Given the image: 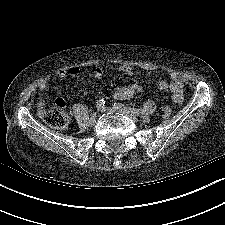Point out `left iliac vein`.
Instances as JSON below:
<instances>
[{"label": "left iliac vein", "mask_w": 225, "mask_h": 225, "mask_svg": "<svg viewBox=\"0 0 225 225\" xmlns=\"http://www.w3.org/2000/svg\"><path fill=\"white\" fill-rule=\"evenodd\" d=\"M102 110L103 111H109V112H120V113H123V114L129 116L134 121L137 120L136 114L131 113L128 109H126L122 106H119V107H116V106H114V107H104Z\"/></svg>", "instance_id": "1"}]
</instances>
